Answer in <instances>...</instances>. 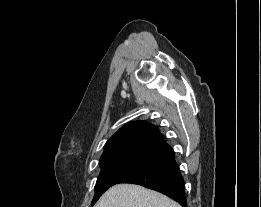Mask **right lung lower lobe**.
<instances>
[{
	"mask_svg": "<svg viewBox=\"0 0 261 207\" xmlns=\"http://www.w3.org/2000/svg\"><path fill=\"white\" fill-rule=\"evenodd\" d=\"M124 183L138 184L156 190L177 201L182 207H187L183 178L174 157L128 179Z\"/></svg>",
	"mask_w": 261,
	"mask_h": 207,
	"instance_id": "obj_1",
	"label": "right lung lower lobe"
}]
</instances>
